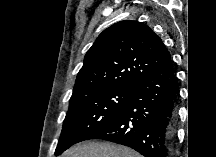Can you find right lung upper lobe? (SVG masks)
Wrapping results in <instances>:
<instances>
[{
	"mask_svg": "<svg viewBox=\"0 0 216 157\" xmlns=\"http://www.w3.org/2000/svg\"><path fill=\"white\" fill-rule=\"evenodd\" d=\"M170 58L162 40L147 25L129 20L115 23L86 53L70 102L92 91L134 86Z\"/></svg>",
	"mask_w": 216,
	"mask_h": 157,
	"instance_id": "1",
	"label": "right lung upper lobe"
}]
</instances>
